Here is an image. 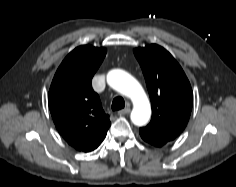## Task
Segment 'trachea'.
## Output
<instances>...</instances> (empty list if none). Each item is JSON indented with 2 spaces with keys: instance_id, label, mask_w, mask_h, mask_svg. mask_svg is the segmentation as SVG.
Returning <instances> with one entry per match:
<instances>
[{
  "instance_id": "obj_1",
  "label": "trachea",
  "mask_w": 236,
  "mask_h": 187,
  "mask_svg": "<svg viewBox=\"0 0 236 187\" xmlns=\"http://www.w3.org/2000/svg\"><path fill=\"white\" fill-rule=\"evenodd\" d=\"M125 106V101L121 96H117L113 99L111 108L113 111L123 109Z\"/></svg>"
}]
</instances>
